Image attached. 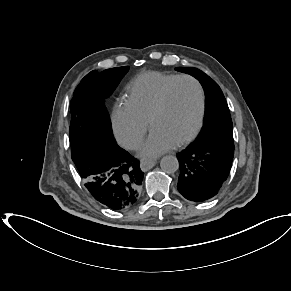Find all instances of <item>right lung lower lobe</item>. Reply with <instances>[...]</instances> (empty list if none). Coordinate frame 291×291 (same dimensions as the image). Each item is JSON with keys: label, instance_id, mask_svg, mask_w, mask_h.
Instances as JSON below:
<instances>
[{"label": "right lung lower lobe", "instance_id": "98d812e1", "mask_svg": "<svg viewBox=\"0 0 291 291\" xmlns=\"http://www.w3.org/2000/svg\"><path fill=\"white\" fill-rule=\"evenodd\" d=\"M85 187L99 203L118 211L138 200L144 173L117 144H99L73 160Z\"/></svg>", "mask_w": 291, "mask_h": 291}]
</instances>
